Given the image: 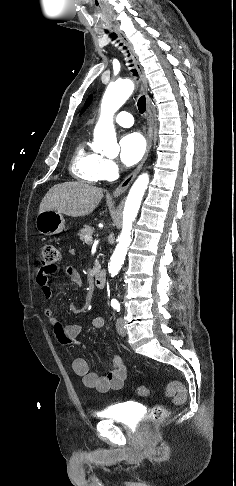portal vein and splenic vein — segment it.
I'll list each match as a JSON object with an SVG mask.
<instances>
[{
    "mask_svg": "<svg viewBox=\"0 0 236 486\" xmlns=\"http://www.w3.org/2000/svg\"><path fill=\"white\" fill-rule=\"evenodd\" d=\"M92 237L91 236H85V242H91Z\"/></svg>",
    "mask_w": 236,
    "mask_h": 486,
    "instance_id": "18ae733b",
    "label": "portal vein and splenic vein"
}]
</instances>
